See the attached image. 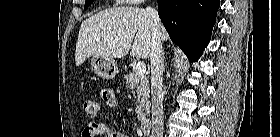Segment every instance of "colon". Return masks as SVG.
Returning a JSON list of instances; mask_svg holds the SVG:
<instances>
[{
    "mask_svg": "<svg viewBox=\"0 0 280 137\" xmlns=\"http://www.w3.org/2000/svg\"><path fill=\"white\" fill-rule=\"evenodd\" d=\"M103 99L105 102L112 101L115 99V94L111 91L104 90L102 93ZM83 111L91 117H94L99 112V104L94 100L85 99L82 102ZM91 137H98L99 134L95 133L90 135Z\"/></svg>",
    "mask_w": 280,
    "mask_h": 137,
    "instance_id": "colon-1",
    "label": "colon"
}]
</instances>
